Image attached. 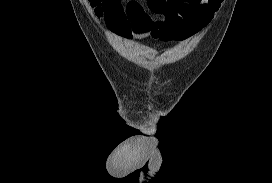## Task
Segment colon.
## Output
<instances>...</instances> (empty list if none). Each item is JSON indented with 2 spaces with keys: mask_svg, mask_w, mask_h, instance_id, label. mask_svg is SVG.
I'll list each match as a JSON object with an SVG mask.
<instances>
[{
  "mask_svg": "<svg viewBox=\"0 0 272 183\" xmlns=\"http://www.w3.org/2000/svg\"><path fill=\"white\" fill-rule=\"evenodd\" d=\"M91 6L95 8L96 12L99 14V9L104 0H89Z\"/></svg>",
  "mask_w": 272,
  "mask_h": 183,
  "instance_id": "obj_1",
  "label": "colon"
}]
</instances>
